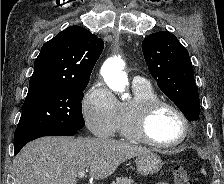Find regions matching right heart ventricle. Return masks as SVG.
I'll list each match as a JSON object with an SVG mask.
<instances>
[{
    "instance_id": "1",
    "label": "right heart ventricle",
    "mask_w": 224,
    "mask_h": 184,
    "mask_svg": "<svg viewBox=\"0 0 224 184\" xmlns=\"http://www.w3.org/2000/svg\"><path fill=\"white\" fill-rule=\"evenodd\" d=\"M134 98L129 102L119 103V115L116 132L128 140H134L129 129V122L133 109L144 101L157 98L151 86H133Z\"/></svg>"
}]
</instances>
